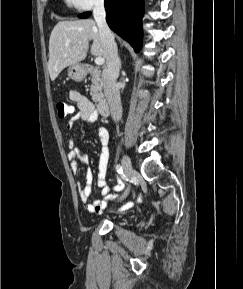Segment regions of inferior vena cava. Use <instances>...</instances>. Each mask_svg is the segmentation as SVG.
I'll list each match as a JSON object with an SVG mask.
<instances>
[{"label":"inferior vena cava","instance_id":"602c4592","mask_svg":"<svg viewBox=\"0 0 243 289\" xmlns=\"http://www.w3.org/2000/svg\"><path fill=\"white\" fill-rule=\"evenodd\" d=\"M93 15L99 29L100 38L104 47V58L106 60V65L103 70L104 93L110 105L113 120L119 121L122 117V105L116 79L119 76L120 60L114 35L106 22L103 0H96Z\"/></svg>","mask_w":243,"mask_h":289}]
</instances>
